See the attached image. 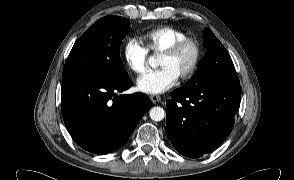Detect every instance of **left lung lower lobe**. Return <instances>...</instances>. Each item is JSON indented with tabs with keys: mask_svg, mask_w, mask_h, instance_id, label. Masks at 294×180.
Returning <instances> with one entry per match:
<instances>
[{
	"mask_svg": "<svg viewBox=\"0 0 294 180\" xmlns=\"http://www.w3.org/2000/svg\"><path fill=\"white\" fill-rule=\"evenodd\" d=\"M171 97L166 102V134L179 153L197 158L217 148L231 133L241 86L180 87Z\"/></svg>",
	"mask_w": 294,
	"mask_h": 180,
	"instance_id": "0a47b994",
	"label": "left lung lower lobe"
}]
</instances>
